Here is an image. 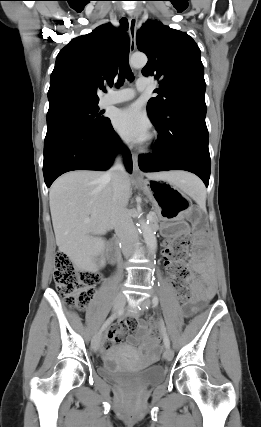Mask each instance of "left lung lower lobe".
Masks as SVG:
<instances>
[{
	"label": "left lung lower lobe",
	"mask_w": 261,
	"mask_h": 427,
	"mask_svg": "<svg viewBox=\"0 0 261 427\" xmlns=\"http://www.w3.org/2000/svg\"><path fill=\"white\" fill-rule=\"evenodd\" d=\"M205 116L206 106L181 103L161 120L150 118L159 136L155 152L139 156V168L144 172L186 170L199 176L207 187L211 160Z\"/></svg>",
	"instance_id": "1"
}]
</instances>
